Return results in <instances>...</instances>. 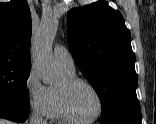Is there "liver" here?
<instances>
[{
    "label": "liver",
    "mask_w": 156,
    "mask_h": 124,
    "mask_svg": "<svg viewBox=\"0 0 156 124\" xmlns=\"http://www.w3.org/2000/svg\"><path fill=\"white\" fill-rule=\"evenodd\" d=\"M0 124H13V123L4 119H0Z\"/></svg>",
    "instance_id": "1"
}]
</instances>
